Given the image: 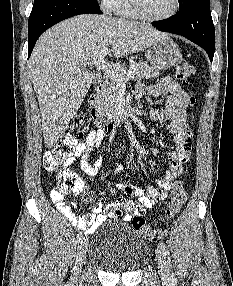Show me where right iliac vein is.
I'll return each mask as SVG.
<instances>
[{
    "instance_id": "1",
    "label": "right iliac vein",
    "mask_w": 233,
    "mask_h": 286,
    "mask_svg": "<svg viewBox=\"0 0 233 286\" xmlns=\"http://www.w3.org/2000/svg\"><path fill=\"white\" fill-rule=\"evenodd\" d=\"M87 245H88V240L86 237H84L83 239H81L78 245V252H77L76 262H75V267H74V279L75 280L78 279L79 273L82 269V265L85 261Z\"/></svg>"
}]
</instances>
